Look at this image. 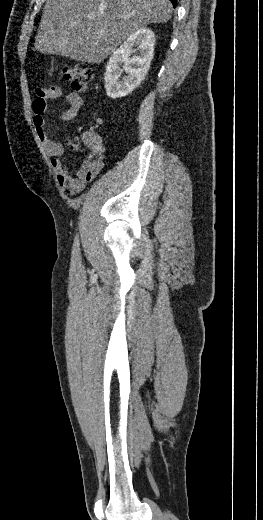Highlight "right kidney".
Segmentation results:
<instances>
[{
  "instance_id": "right-kidney-1",
  "label": "right kidney",
  "mask_w": 263,
  "mask_h": 520,
  "mask_svg": "<svg viewBox=\"0 0 263 520\" xmlns=\"http://www.w3.org/2000/svg\"><path fill=\"white\" fill-rule=\"evenodd\" d=\"M155 34L151 29L141 28L131 34L113 52L104 74L105 89L108 97H125L137 88L145 78L153 59ZM132 53L137 55L130 57ZM125 72L126 76L121 74Z\"/></svg>"
}]
</instances>
